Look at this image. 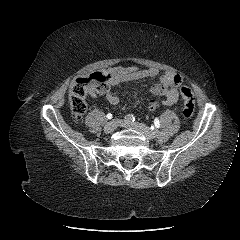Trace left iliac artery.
Returning <instances> with one entry per match:
<instances>
[{
    "label": "left iliac artery",
    "instance_id": "obj_1",
    "mask_svg": "<svg viewBox=\"0 0 240 240\" xmlns=\"http://www.w3.org/2000/svg\"><path fill=\"white\" fill-rule=\"evenodd\" d=\"M151 129L152 130H154L155 128H154V126H151ZM153 133H156V132H153ZM157 137L159 138V139H162V138H165L166 137V134L165 133H162V132H157Z\"/></svg>",
    "mask_w": 240,
    "mask_h": 240
}]
</instances>
